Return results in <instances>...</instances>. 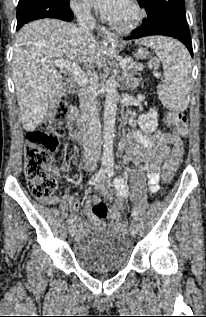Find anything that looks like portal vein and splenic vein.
Returning <instances> with one entry per match:
<instances>
[{
  "instance_id": "obj_1",
  "label": "portal vein and splenic vein",
  "mask_w": 206,
  "mask_h": 317,
  "mask_svg": "<svg viewBox=\"0 0 206 317\" xmlns=\"http://www.w3.org/2000/svg\"><path fill=\"white\" fill-rule=\"evenodd\" d=\"M130 62H132L131 59H126L122 60L120 64L125 66ZM54 65L60 69H67L73 75L78 85H84L86 83V79L76 63L64 59H57L54 61Z\"/></svg>"
}]
</instances>
